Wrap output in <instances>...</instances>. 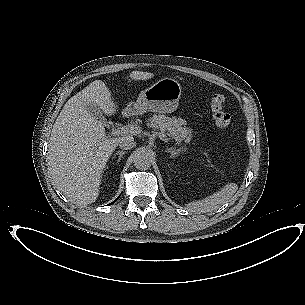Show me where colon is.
Wrapping results in <instances>:
<instances>
[{
    "label": "colon",
    "instance_id": "obj_1",
    "mask_svg": "<svg viewBox=\"0 0 305 305\" xmlns=\"http://www.w3.org/2000/svg\"><path fill=\"white\" fill-rule=\"evenodd\" d=\"M211 111L213 119L220 127H225L230 123V115L224 110V97L222 95H214L211 98Z\"/></svg>",
    "mask_w": 305,
    "mask_h": 305
}]
</instances>
